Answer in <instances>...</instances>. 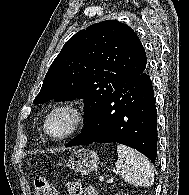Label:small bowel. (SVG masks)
<instances>
[{
	"mask_svg": "<svg viewBox=\"0 0 189 195\" xmlns=\"http://www.w3.org/2000/svg\"><path fill=\"white\" fill-rule=\"evenodd\" d=\"M84 195H98V191L94 187H87Z\"/></svg>",
	"mask_w": 189,
	"mask_h": 195,
	"instance_id": "small-bowel-1",
	"label": "small bowel"
}]
</instances>
